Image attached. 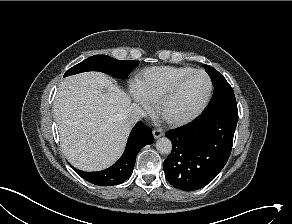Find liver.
<instances>
[{
  "label": "liver",
  "mask_w": 292,
  "mask_h": 224,
  "mask_svg": "<svg viewBox=\"0 0 292 224\" xmlns=\"http://www.w3.org/2000/svg\"><path fill=\"white\" fill-rule=\"evenodd\" d=\"M131 99L106 75L85 72L64 79L54 101L61 147L83 171H99L122 154L132 123Z\"/></svg>",
  "instance_id": "obj_1"
}]
</instances>
